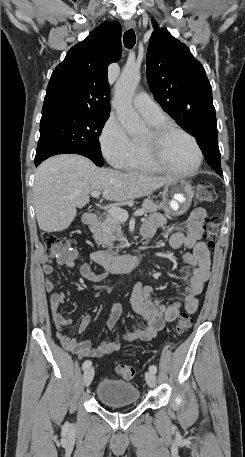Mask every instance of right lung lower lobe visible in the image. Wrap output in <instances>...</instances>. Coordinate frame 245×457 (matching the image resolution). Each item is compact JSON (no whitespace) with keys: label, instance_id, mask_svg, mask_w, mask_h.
<instances>
[{"label":"right lung lower lobe","instance_id":"obj_1","mask_svg":"<svg viewBox=\"0 0 245 457\" xmlns=\"http://www.w3.org/2000/svg\"><path fill=\"white\" fill-rule=\"evenodd\" d=\"M45 159H47V158H41V159L35 161V166H38V165H39L42 161H44Z\"/></svg>","mask_w":245,"mask_h":457}]
</instances>
